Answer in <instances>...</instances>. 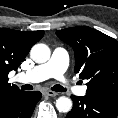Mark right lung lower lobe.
Masks as SVG:
<instances>
[{
  "mask_svg": "<svg viewBox=\"0 0 118 118\" xmlns=\"http://www.w3.org/2000/svg\"><path fill=\"white\" fill-rule=\"evenodd\" d=\"M41 96L40 92H24L1 102L0 118H30Z\"/></svg>",
  "mask_w": 118,
  "mask_h": 118,
  "instance_id": "right-lung-lower-lobe-1",
  "label": "right lung lower lobe"
}]
</instances>
